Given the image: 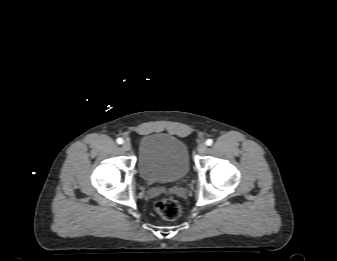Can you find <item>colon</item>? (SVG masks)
Here are the masks:
<instances>
[{"mask_svg":"<svg viewBox=\"0 0 337 261\" xmlns=\"http://www.w3.org/2000/svg\"><path fill=\"white\" fill-rule=\"evenodd\" d=\"M154 210L161 218L174 220L180 214V205L172 198H162L155 202Z\"/></svg>","mask_w":337,"mask_h":261,"instance_id":"colon-1","label":"colon"}]
</instances>
